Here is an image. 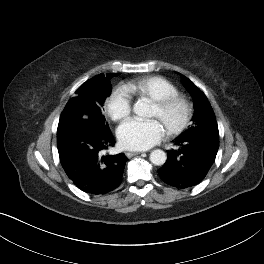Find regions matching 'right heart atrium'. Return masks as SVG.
<instances>
[{
    "label": "right heart atrium",
    "mask_w": 264,
    "mask_h": 264,
    "mask_svg": "<svg viewBox=\"0 0 264 264\" xmlns=\"http://www.w3.org/2000/svg\"><path fill=\"white\" fill-rule=\"evenodd\" d=\"M106 110L114 121L127 118L132 110V96L125 86H119L106 100Z\"/></svg>",
    "instance_id": "d8ad5b80"
}]
</instances>
